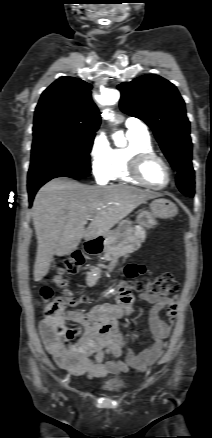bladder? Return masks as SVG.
I'll return each instance as SVG.
<instances>
[{"label":"bladder","instance_id":"obj_1","mask_svg":"<svg viewBox=\"0 0 212 438\" xmlns=\"http://www.w3.org/2000/svg\"><path fill=\"white\" fill-rule=\"evenodd\" d=\"M101 388L108 392L118 393L125 388V382L119 379H108L102 382Z\"/></svg>","mask_w":212,"mask_h":438}]
</instances>
